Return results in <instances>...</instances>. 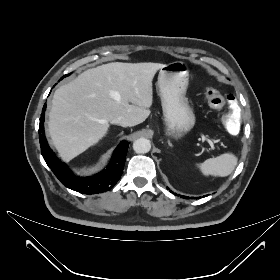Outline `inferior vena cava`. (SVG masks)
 <instances>
[{
    "mask_svg": "<svg viewBox=\"0 0 280 280\" xmlns=\"http://www.w3.org/2000/svg\"><path fill=\"white\" fill-rule=\"evenodd\" d=\"M113 124H117V125H120V126H123V127H128L130 126V123L129 121L125 118V117H118V118H115L114 120H112Z\"/></svg>",
    "mask_w": 280,
    "mask_h": 280,
    "instance_id": "obj_1",
    "label": "inferior vena cava"
}]
</instances>
